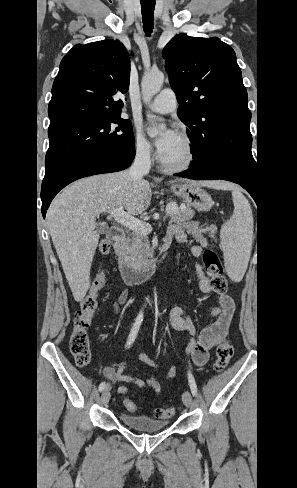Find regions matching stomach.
Returning a JSON list of instances; mask_svg holds the SVG:
<instances>
[{
  "mask_svg": "<svg viewBox=\"0 0 297 488\" xmlns=\"http://www.w3.org/2000/svg\"><path fill=\"white\" fill-rule=\"evenodd\" d=\"M171 191L197 211L207 212L213 206L211 196L199 185L174 184L171 186Z\"/></svg>",
  "mask_w": 297,
  "mask_h": 488,
  "instance_id": "0dacf381",
  "label": "stomach"
}]
</instances>
